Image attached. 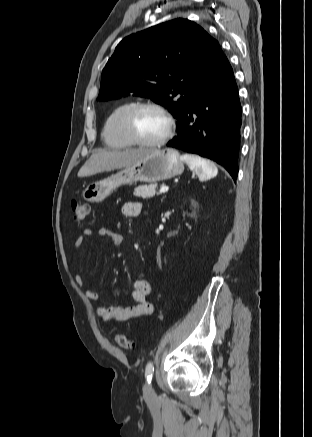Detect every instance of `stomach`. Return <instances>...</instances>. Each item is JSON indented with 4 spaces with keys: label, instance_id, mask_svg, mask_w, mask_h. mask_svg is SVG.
Wrapping results in <instances>:
<instances>
[{
    "label": "stomach",
    "instance_id": "stomach-1",
    "mask_svg": "<svg viewBox=\"0 0 312 437\" xmlns=\"http://www.w3.org/2000/svg\"><path fill=\"white\" fill-rule=\"evenodd\" d=\"M183 171L184 164L177 150L153 149L140 160L106 179L88 184L82 192V197L87 202L99 203L122 185L138 181L154 183L178 176Z\"/></svg>",
    "mask_w": 312,
    "mask_h": 437
}]
</instances>
